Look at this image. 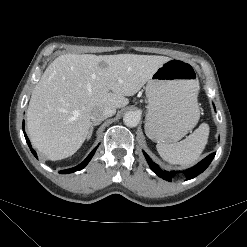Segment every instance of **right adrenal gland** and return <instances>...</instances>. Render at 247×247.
I'll use <instances>...</instances> for the list:
<instances>
[{
    "instance_id": "2a0ac1e0",
    "label": "right adrenal gland",
    "mask_w": 247,
    "mask_h": 247,
    "mask_svg": "<svg viewBox=\"0 0 247 247\" xmlns=\"http://www.w3.org/2000/svg\"><path fill=\"white\" fill-rule=\"evenodd\" d=\"M97 125H99V123H93V124L91 125V128H90V131H89L87 140H89V139L91 138L92 133H93L94 126H97Z\"/></svg>"
}]
</instances>
